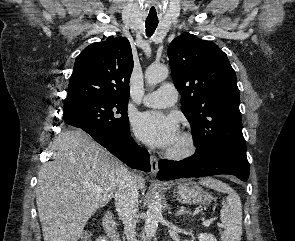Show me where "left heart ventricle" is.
Returning <instances> with one entry per match:
<instances>
[{"mask_svg": "<svg viewBox=\"0 0 295 241\" xmlns=\"http://www.w3.org/2000/svg\"><path fill=\"white\" fill-rule=\"evenodd\" d=\"M180 146H181V141L178 138L177 141L174 143V145L171 148H177V147H180Z\"/></svg>", "mask_w": 295, "mask_h": 241, "instance_id": "b2bd125f", "label": "left heart ventricle"}]
</instances>
